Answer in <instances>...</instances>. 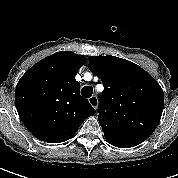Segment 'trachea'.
Listing matches in <instances>:
<instances>
[{
  "instance_id": "trachea-1",
  "label": "trachea",
  "mask_w": 178,
  "mask_h": 178,
  "mask_svg": "<svg viewBox=\"0 0 178 178\" xmlns=\"http://www.w3.org/2000/svg\"><path fill=\"white\" fill-rule=\"evenodd\" d=\"M81 94L85 98H90L93 94V88L91 86H84L81 90Z\"/></svg>"
}]
</instances>
